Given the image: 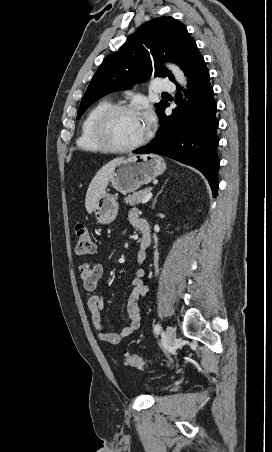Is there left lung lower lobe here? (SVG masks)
Listing matches in <instances>:
<instances>
[{
  "label": "left lung lower lobe",
  "mask_w": 272,
  "mask_h": 452,
  "mask_svg": "<svg viewBox=\"0 0 272 452\" xmlns=\"http://www.w3.org/2000/svg\"><path fill=\"white\" fill-rule=\"evenodd\" d=\"M182 70L188 77L187 100L176 99L178 106L171 116L164 112L169 106L166 102L159 113L161 127L155 140L134 153L162 154L198 169L208 179L216 197L219 167L217 104L208 69L196 44L189 51ZM173 82L177 84L175 80Z\"/></svg>",
  "instance_id": "left-lung-lower-lobe-1"
}]
</instances>
